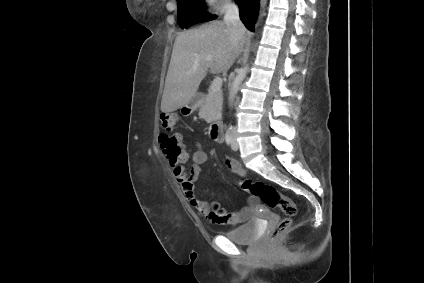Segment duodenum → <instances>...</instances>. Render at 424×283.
Wrapping results in <instances>:
<instances>
[{
  "label": "duodenum",
  "instance_id": "410a0bca",
  "mask_svg": "<svg viewBox=\"0 0 424 283\" xmlns=\"http://www.w3.org/2000/svg\"><path fill=\"white\" fill-rule=\"evenodd\" d=\"M210 136L213 140L221 142L223 139V123L219 120L214 121L210 127Z\"/></svg>",
  "mask_w": 424,
  "mask_h": 283
}]
</instances>
